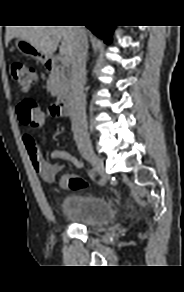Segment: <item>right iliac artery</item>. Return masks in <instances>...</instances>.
Listing matches in <instances>:
<instances>
[{"label":"right iliac artery","mask_w":184,"mask_h":292,"mask_svg":"<svg viewBox=\"0 0 184 292\" xmlns=\"http://www.w3.org/2000/svg\"><path fill=\"white\" fill-rule=\"evenodd\" d=\"M98 182H101V176H99Z\"/></svg>","instance_id":"1"}]
</instances>
